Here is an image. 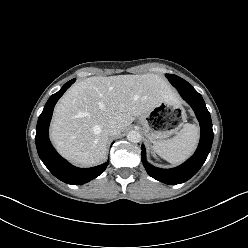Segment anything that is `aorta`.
I'll list each match as a JSON object with an SVG mask.
<instances>
[{"instance_id": "aorta-1", "label": "aorta", "mask_w": 248, "mask_h": 248, "mask_svg": "<svg viewBox=\"0 0 248 248\" xmlns=\"http://www.w3.org/2000/svg\"><path fill=\"white\" fill-rule=\"evenodd\" d=\"M127 139L132 143H139L141 141V134L136 130H131L127 134Z\"/></svg>"}]
</instances>
